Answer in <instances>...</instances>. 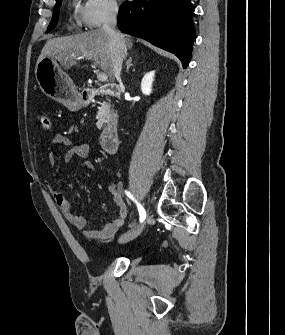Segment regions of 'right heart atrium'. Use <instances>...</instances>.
I'll use <instances>...</instances> for the list:
<instances>
[{"label":"right heart atrium","mask_w":285,"mask_h":335,"mask_svg":"<svg viewBox=\"0 0 285 335\" xmlns=\"http://www.w3.org/2000/svg\"><path fill=\"white\" fill-rule=\"evenodd\" d=\"M119 11L118 1H85L74 11V18L87 29L95 30L114 20Z\"/></svg>","instance_id":"1"}]
</instances>
